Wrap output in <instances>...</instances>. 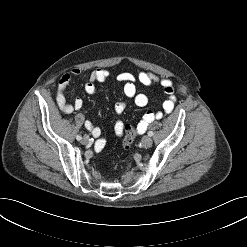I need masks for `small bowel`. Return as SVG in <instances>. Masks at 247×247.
Listing matches in <instances>:
<instances>
[{
  "instance_id": "c3829d8e",
  "label": "small bowel",
  "mask_w": 247,
  "mask_h": 247,
  "mask_svg": "<svg viewBox=\"0 0 247 247\" xmlns=\"http://www.w3.org/2000/svg\"><path fill=\"white\" fill-rule=\"evenodd\" d=\"M81 70L79 68L72 69L69 73L64 74L58 84L56 92V101L58 107L64 113H72L75 110H79L83 105V100L80 97H76L72 102L67 101L65 95L66 86L72 81L73 78L80 76ZM109 76V71L104 68H98L94 70L90 79L84 85V91L87 94H94L96 92V83H103ZM139 81L144 86H152L159 84L163 92L166 94L167 99L163 102V112L170 114L176 103V96L174 95L173 83L170 79L162 78L160 79L153 73L141 71L138 73L137 77L128 72L120 73L117 76V81L124 84L123 90L126 99L117 102L114 106V111L117 115L122 114L128 104V100H133V102L138 107H145L148 104V98L145 94L139 93L136 86V81ZM163 112L158 111H147L137 124V131L143 133L147 130L148 126L155 120L162 118ZM85 128L92 134L94 138H99L101 136V129L95 126L90 120L84 121ZM125 125L123 121L117 120L114 124V130L116 135L121 136L124 132ZM105 141L100 139L97 142L96 148L100 149L104 146Z\"/></svg>"
}]
</instances>
